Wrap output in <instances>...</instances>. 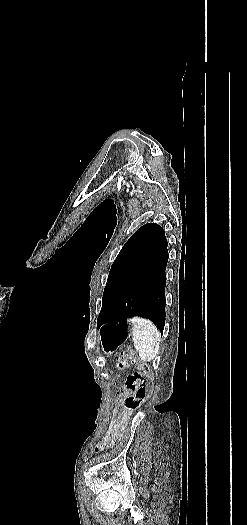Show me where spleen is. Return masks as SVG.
Masks as SVG:
<instances>
[{
	"label": "spleen",
	"mask_w": 247,
	"mask_h": 525,
	"mask_svg": "<svg viewBox=\"0 0 247 525\" xmlns=\"http://www.w3.org/2000/svg\"><path fill=\"white\" fill-rule=\"evenodd\" d=\"M131 321L133 325L132 339L134 349L138 351L141 361L149 363V361L155 359L159 351L160 333L149 319L133 317Z\"/></svg>",
	"instance_id": "1"
}]
</instances>
